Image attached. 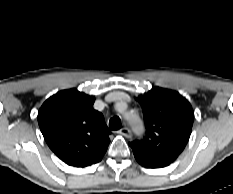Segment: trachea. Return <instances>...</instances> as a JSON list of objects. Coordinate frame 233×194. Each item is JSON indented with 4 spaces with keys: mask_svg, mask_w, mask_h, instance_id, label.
Listing matches in <instances>:
<instances>
[{
    "mask_svg": "<svg viewBox=\"0 0 233 194\" xmlns=\"http://www.w3.org/2000/svg\"><path fill=\"white\" fill-rule=\"evenodd\" d=\"M110 130H119L121 128V120L119 117H113L109 121Z\"/></svg>",
    "mask_w": 233,
    "mask_h": 194,
    "instance_id": "1",
    "label": "trachea"
}]
</instances>
